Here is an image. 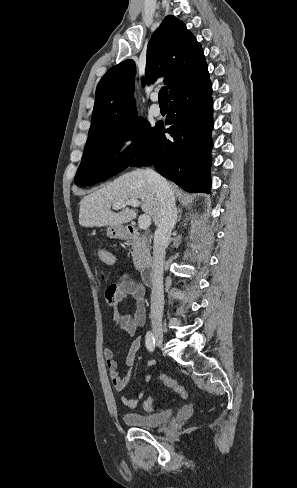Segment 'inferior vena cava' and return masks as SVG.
Returning a JSON list of instances; mask_svg holds the SVG:
<instances>
[{
  "mask_svg": "<svg viewBox=\"0 0 297 488\" xmlns=\"http://www.w3.org/2000/svg\"><path fill=\"white\" fill-rule=\"evenodd\" d=\"M148 179L156 188L160 200V219L154 234L153 243V283L151 288V317L163 316L164 310V260L166 248L170 241L171 231L177 221L175 197L170 184L152 169L145 170Z\"/></svg>",
  "mask_w": 297,
  "mask_h": 488,
  "instance_id": "inferior-vena-cava-1",
  "label": "inferior vena cava"
}]
</instances>
